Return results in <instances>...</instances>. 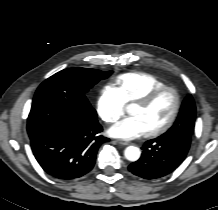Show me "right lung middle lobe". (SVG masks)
<instances>
[{
	"label": "right lung middle lobe",
	"mask_w": 218,
	"mask_h": 210,
	"mask_svg": "<svg viewBox=\"0 0 218 210\" xmlns=\"http://www.w3.org/2000/svg\"><path fill=\"white\" fill-rule=\"evenodd\" d=\"M112 71L102 72L90 68H69L46 79L37 89L33 103L53 100L95 111L85 93L99 80L106 79Z\"/></svg>",
	"instance_id": "obj_1"
}]
</instances>
